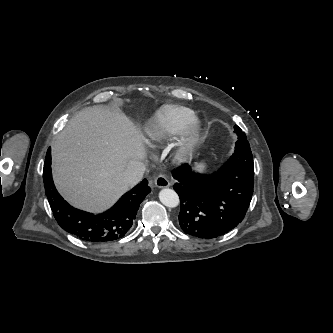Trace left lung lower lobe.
<instances>
[{
  "label": "left lung lower lobe",
  "mask_w": 333,
  "mask_h": 333,
  "mask_svg": "<svg viewBox=\"0 0 333 333\" xmlns=\"http://www.w3.org/2000/svg\"><path fill=\"white\" fill-rule=\"evenodd\" d=\"M238 135L233 155L211 175L185 164L173 171L174 190L180 197L182 230L199 238H216L235 228L245 217L253 195L254 163L249 142Z\"/></svg>",
  "instance_id": "obj_1"
}]
</instances>
